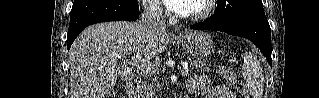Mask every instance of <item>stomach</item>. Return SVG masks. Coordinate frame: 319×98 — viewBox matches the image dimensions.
<instances>
[{
    "mask_svg": "<svg viewBox=\"0 0 319 98\" xmlns=\"http://www.w3.org/2000/svg\"><path fill=\"white\" fill-rule=\"evenodd\" d=\"M180 42L185 53L197 59L207 57L214 50L211 36L203 31H186Z\"/></svg>",
    "mask_w": 319,
    "mask_h": 98,
    "instance_id": "1",
    "label": "stomach"
}]
</instances>
